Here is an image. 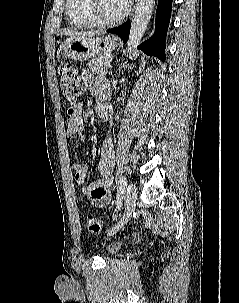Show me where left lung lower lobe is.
Instances as JSON below:
<instances>
[{
	"label": "left lung lower lobe",
	"instance_id": "1",
	"mask_svg": "<svg viewBox=\"0 0 239 303\" xmlns=\"http://www.w3.org/2000/svg\"><path fill=\"white\" fill-rule=\"evenodd\" d=\"M172 0H158L156 10V31L147 41L138 46L145 54L165 61V37L171 16ZM130 22L108 29L107 32L118 35L126 43L130 33Z\"/></svg>",
	"mask_w": 239,
	"mask_h": 303
}]
</instances>
